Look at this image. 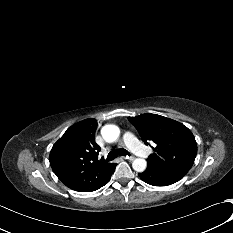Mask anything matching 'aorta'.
I'll return each mask as SVG.
<instances>
[{"label": "aorta", "instance_id": "aorta-1", "mask_svg": "<svg viewBox=\"0 0 233 233\" xmlns=\"http://www.w3.org/2000/svg\"><path fill=\"white\" fill-rule=\"evenodd\" d=\"M101 135L106 142L112 143L118 139L120 129L116 125L108 124L102 127ZM132 167L137 172H143L147 167V162L145 159L137 158L133 161Z\"/></svg>", "mask_w": 233, "mask_h": 233}]
</instances>
